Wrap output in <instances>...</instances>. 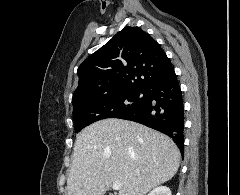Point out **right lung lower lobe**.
I'll return each mask as SVG.
<instances>
[{
	"mask_svg": "<svg viewBox=\"0 0 240 195\" xmlns=\"http://www.w3.org/2000/svg\"><path fill=\"white\" fill-rule=\"evenodd\" d=\"M143 101L115 118L141 123L173 139L184 154V106L182 92L173 71L143 93Z\"/></svg>",
	"mask_w": 240,
	"mask_h": 195,
	"instance_id": "obj_1",
	"label": "right lung lower lobe"
}]
</instances>
